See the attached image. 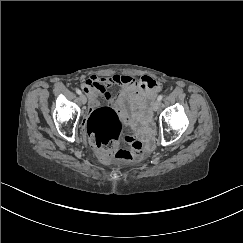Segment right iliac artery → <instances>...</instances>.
Returning a JSON list of instances; mask_svg holds the SVG:
<instances>
[{"label": "right iliac artery", "instance_id": "obj_1", "mask_svg": "<svg viewBox=\"0 0 243 243\" xmlns=\"http://www.w3.org/2000/svg\"><path fill=\"white\" fill-rule=\"evenodd\" d=\"M76 93L79 94V95L82 94L81 90H79V89H76Z\"/></svg>", "mask_w": 243, "mask_h": 243}]
</instances>
